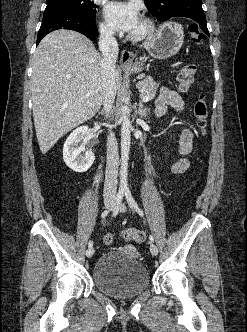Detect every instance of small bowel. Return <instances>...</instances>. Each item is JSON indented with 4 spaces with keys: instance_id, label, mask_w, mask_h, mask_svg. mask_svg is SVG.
<instances>
[{
    "instance_id": "1",
    "label": "small bowel",
    "mask_w": 247,
    "mask_h": 332,
    "mask_svg": "<svg viewBox=\"0 0 247 332\" xmlns=\"http://www.w3.org/2000/svg\"><path fill=\"white\" fill-rule=\"evenodd\" d=\"M168 107H173L177 112H184V105L180 96L172 90L163 88L155 102L154 112L156 116H162L166 113ZM193 148V132L189 128H184L181 132L179 141V153L181 157L171 167L172 174H181L189 167L187 156Z\"/></svg>"
}]
</instances>
